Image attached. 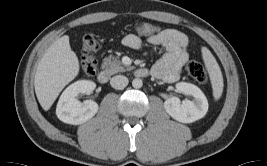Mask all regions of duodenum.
<instances>
[{
    "label": "duodenum",
    "instance_id": "obj_1",
    "mask_svg": "<svg viewBox=\"0 0 267 166\" xmlns=\"http://www.w3.org/2000/svg\"><path fill=\"white\" fill-rule=\"evenodd\" d=\"M134 75L139 78L146 77L148 75V70L145 68L136 69ZM97 79L101 84H106L110 79V74L107 70H101L97 75Z\"/></svg>",
    "mask_w": 267,
    "mask_h": 166
}]
</instances>
